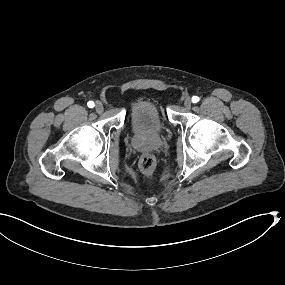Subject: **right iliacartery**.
<instances>
[{
	"instance_id": "obj_1",
	"label": "right iliac artery",
	"mask_w": 285,
	"mask_h": 285,
	"mask_svg": "<svg viewBox=\"0 0 285 285\" xmlns=\"http://www.w3.org/2000/svg\"><path fill=\"white\" fill-rule=\"evenodd\" d=\"M87 105L89 108H93L95 106L93 101H89Z\"/></svg>"
}]
</instances>
